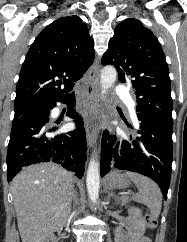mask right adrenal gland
Instances as JSON below:
<instances>
[{
	"mask_svg": "<svg viewBox=\"0 0 187 242\" xmlns=\"http://www.w3.org/2000/svg\"><path fill=\"white\" fill-rule=\"evenodd\" d=\"M75 203H76V199H75ZM72 218V215L70 216V218L69 219H71Z\"/></svg>",
	"mask_w": 187,
	"mask_h": 242,
	"instance_id": "1",
	"label": "right adrenal gland"
}]
</instances>
